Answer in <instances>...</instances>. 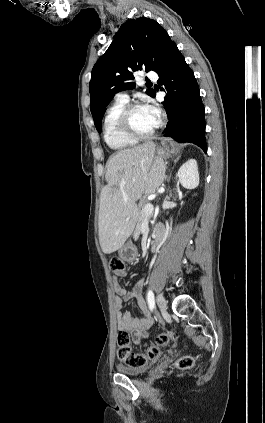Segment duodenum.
Instances as JSON below:
<instances>
[{"label":"duodenum","mask_w":265,"mask_h":423,"mask_svg":"<svg viewBox=\"0 0 265 423\" xmlns=\"http://www.w3.org/2000/svg\"><path fill=\"white\" fill-rule=\"evenodd\" d=\"M165 236V228L164 227H156L154 231V239L151 244V251H155L159 244L162 242Z\"/></svg>","instance_id":"1"}]
</instances>
